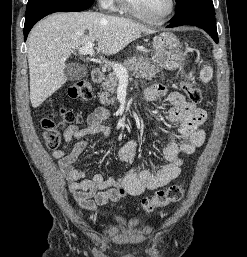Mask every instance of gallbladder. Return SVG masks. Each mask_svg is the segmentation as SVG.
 Returning a JSON list of instances; mask_svg holds the SVG:
<instances>
[{"label": "gallbladder", "mask_w": 247, "mask_h": 257, "mask_svg": "<svg viewBox=\"0 0 247 257\" xmlns=\"http://www.w3.org/2000/svg\"><path fill=\"white\" fill-rule=\"evenodd\" d=\"M87 67L82 64L68 63L64 67V74L69 81H77L87 75Z\"/></svg>", "instance_id": "gallbladder-1"}]
</instances>
